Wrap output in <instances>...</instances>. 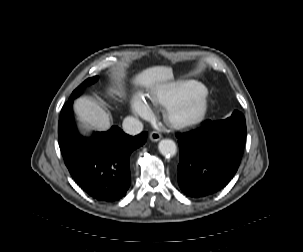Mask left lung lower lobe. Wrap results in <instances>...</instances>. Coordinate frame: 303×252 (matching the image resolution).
I'll use <instances>...</instances> for the list:
<instances>
[{"mask_svg":"<svg viewBox=\"0 0 303 252\" xmlns=\"http://www.w3.org/2000/svg\"><path fill=\"white\" fill-rule=\"evenodd\" d=\"M180 162L178 184L191 197H203L223 188L236 173L246 141L245 122L210 121L177 134Z\"/></svg>","mask_w":303,"mask_h":252,"instance_id":"obj_1","label":"left lung lower lobe"}]
</instances>
